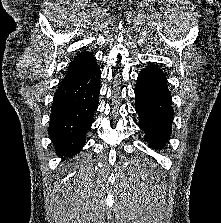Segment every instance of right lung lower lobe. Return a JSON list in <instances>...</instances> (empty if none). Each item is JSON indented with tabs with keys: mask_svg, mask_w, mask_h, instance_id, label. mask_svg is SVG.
<instances>
[{
	"mask_svg": "<svg viewBox=\"0 0 221 223\" xmlns=\"http://www.w3.org/2000/svg\"><path fill=\"white\" fill-rule=\"evenodd\" d=\"M101 71L95 65L87 73L61 83L55 92L48 134L58 155L72 156L85 143L98 107Z\"/></svg>",
	"mask_w": 221,
	"mask_h": 223,
	"instance_id": "obj_1",
	"label": "right lung lower lobe"
}]
</instances>
